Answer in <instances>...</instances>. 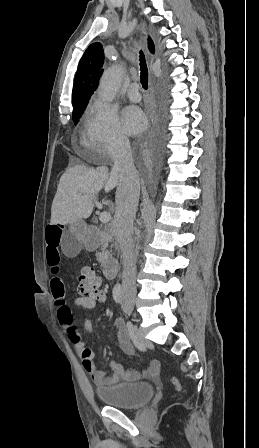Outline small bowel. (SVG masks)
Instances as JSON below:
<instances>
[{"mask_svg":"<svg viewBox=\"0 0 259 448\" xmlns=\"http://www.w3.org/2000/svg\"><path fill=\"white\" fill-rule=\"evenodd\" d=\"M63 226L61 224H48L45 230V259L49 267L51 279L50 286L57 307V319L63 332L73 343L76 352L80 355L82 365L90 376L91 380L99 387H107L116 384L119 381L132 382L139 380L142 376L149 378H157L160 372V363L152 360L148 369L141 373L137 370H126L124 366L116 361L110 362L111 371L99 370L94 361L93 354L90 349L86 348L82 340L79 330L73 324V316L70 307L65 298V285L59 276L60 271V243L63 235ZM106 295L101 291L95 296H80L74 299L73 303L84 309H94L97 304L104 302ZM117 330V340L120 350L127 356L134 354V346L130 341L125 323L122 319L115 320ZM84 329L88 332L92 330L90 319L84 320Z\"/></svg>","mask_w":259,"mask_h":448,"instance_id":"small-bowel-1","label":"small bowel"}]
</instances>
